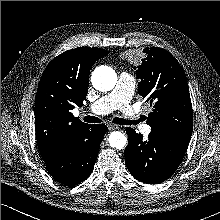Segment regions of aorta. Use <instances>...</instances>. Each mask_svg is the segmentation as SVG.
<instances>
[{"label": "aorta", "instance_id": "aorta-1", "mask_svg": "<svg viewBox=\"0 0 220 220\" xmlns=\"http://www.w3.org/2000/svg\"><path fill=\"white\" fill-rule=\"evenodd\" d=\"M91 82L95 89L107 92L116 85L117 75L111 67L99 66L94 70ZM108 141L112 148L121 150L127 144V137L122 132L115 131L110 134Z\"/></svg>", "mask_w": 220, "mask_h": 220}]
</instances>
